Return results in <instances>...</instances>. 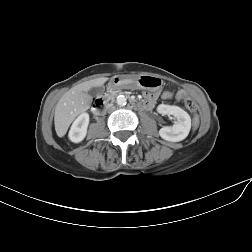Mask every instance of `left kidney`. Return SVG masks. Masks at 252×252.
I'll list each match as a JSON object with an SVG mask.
<instances>
[{
    "mask_svg": "<svg viewBox=\"0 0 252 252\" xmlns=\"http://www.w3.org/2000/svg\"><path fill=\"white\" fill-rule=\"evenodd\" d=\"M158 113L172 115L176 121L173 126H165L159 130V135L166 141L179 142L184 140L191 129V118L189 114L178 106L160 104L157 107Z\"/></svg>",
    "mask_w": 252,
    "mask_h": 252,
    "instance_id": "1",
    "label": "left kidney"
}]
</instances>
